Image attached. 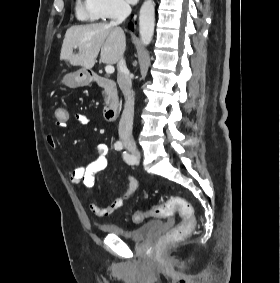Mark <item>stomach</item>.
Masks as SVG:
<instances>
[{
  "label": "stomach",
  "mask_w": 280,
  "mask_h": 283,
  "mask_svg": "<svg viewBox=\"0 0 280 283\" xmlns=\"http://www.w3.org/2000/svg\"><path fill=\"white\" fill-rule=\"evenodd\" d=\"M91 82V76L88 70L80 69L69 73L63 77L62 83L69 87L85 86Z\"/></svg>",
  "instance_id": "1"
}]
</instances>
